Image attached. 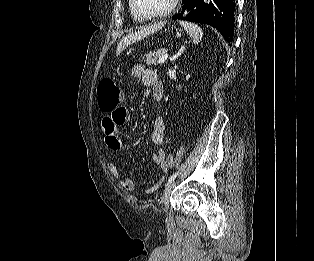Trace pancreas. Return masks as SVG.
<instances>
[{
	"mask_svg": "<svg viewBox=\"0 0 314 261\" xmlns=\"http://www.w3.org/2000/svg\"><path fill=\"white\" fill-rule=\"evenodd\" d=\"M167 53L166 49H158L156 51L150 52L143 57L144 62L149 67H155L158 61V58L165 55Z\"/></svg>",
	"mask_w": 314,
	"mask_h": 261,
	"instance_id": "1",
	"label": "pancreas"
}]
</instances>
